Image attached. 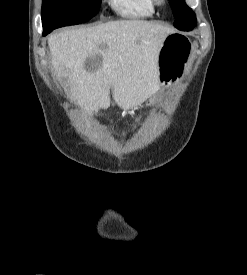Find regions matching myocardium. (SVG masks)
<instances>
[{
  "instance_id": "obj_1",
  "label": "myocardium",
  "mask_w": 247,
  "mask_h": 275,
  "mask_svg": "<svg viewBox=\"0 0 247 275\" xmlns=\"http://www.w3.org/2000/svg\"><path fill=\"white\" fill-rule=\"evenodd\" d=\"M153 2L155 5H163L166 2V0H153Z\"/></svg>"
}]
</instances>
